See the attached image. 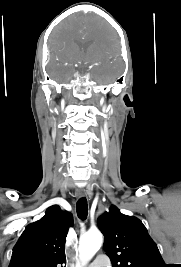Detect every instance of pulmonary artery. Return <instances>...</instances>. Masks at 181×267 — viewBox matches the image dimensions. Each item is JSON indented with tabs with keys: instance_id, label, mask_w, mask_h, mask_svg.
<instances>
[{
	"instance_id": "1",
	"label": "pulmonary artery",
	"mask_w": 181,
	"mask_h": 267,
	"mask_svg": "<svg viewBox=\"0 0 181 267\" xmlns=\"http://www.w3.org/2000/svg\"><path fill=\"white\" fill-rule=\"evenodd\" d=\"M107 259L105 257H98L92 263L88 265V267H106Z\"/></svg>"
}]
</instances>
